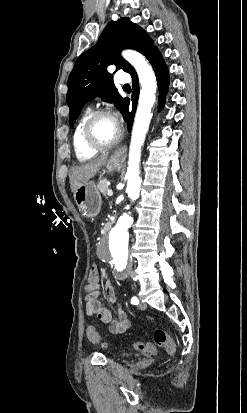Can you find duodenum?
Here are the masks:
<instances>
[{"label": "duodenum", "mask_w": 247, "mask_h": 413, "mask_svg": "<svg viewBox=\"0 0 247 413\" xmlns=\"http://www.w3.org/2000/svg\"><path fill=\"white\" fill-rule=\"evenodd\" d=\"M110 229H111V222L108 221V222H106L105 225H104V231H105V232H108Z\"/></svg>", "instance_id": "1"}]
</instances>
